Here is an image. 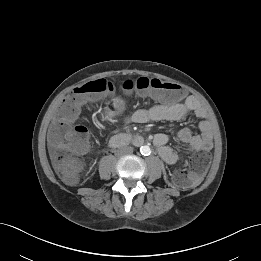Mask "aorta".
Listing matches in <instances>:
<instances>
[{"mask_svg":"<svg viewBox=\"0 0 261 261\" xmlns=\"http://www.w3.org/2000/svg\"><path fill=\"white\" fill-rule=\"evenodd\" d=\"M140 152L142 155H149L151 150H150V147L149 146H141L140 148Z\"/></svg>","mask_w":261,"mask_h":261,"instance_id":"1","label":"aorta"}]
</instances>
